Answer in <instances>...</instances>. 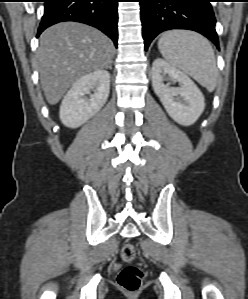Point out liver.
I'll return each mask as SVG.
<instances>
[{"label": "liver", "instance_id": "6515ba94", "mask_svg": "<svg viewBox=\"0 0 248 299\" xmlns=\"http://www.w3.org/2000/svg\"><path fill=\"white\" fill-rule=\"evenodd\" d=\"M113 43L99 30L77 22L46 29L36 53L41 86L49 104H57L81 77L112 63Z\"/></svg>", "mask_w": 248, "mask_h": 299}]
</instances>
